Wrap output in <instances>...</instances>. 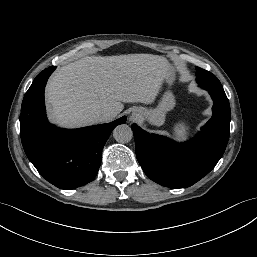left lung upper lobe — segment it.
<instances>
[{
	"instance_id": "5c2ea615",
	"label": "left lung upper lobe",
	"mask_w": 257,
	"mask_h": 257,
	"mask_svg": "<svg viewBox=\"0 0 257 257\" xmlns=\"http://www.w3.org/2000/svg\"><path fill=\"white\" fill-rule=\"evenodd\" d=\"M196 71L197 82L200 87L207 90H223L220 81L215 75L199 67H196Z\"/></svg>"
}]
</instances>
